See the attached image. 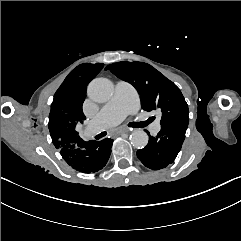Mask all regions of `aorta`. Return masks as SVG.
I'll use <instances>...</instances> for the list:
<instances>
[{"label":"aorta","instance_id":"762f6f07","mask_svg":"<svg viewBox=\"0 0 241 241\" xmlns=\"http://www.w3.org/2000/svg\"><path fill=\"white\" fill-rule=\"evenodd\" d=\"M113 84L106 78H96L88 86V96L95 102L108 101L113 94ZM130 142L135 148H144L148 144V134L143 130H135L130 135Z\"/></svg>","mask_w":241,"mask_h":241}]
</instances>
